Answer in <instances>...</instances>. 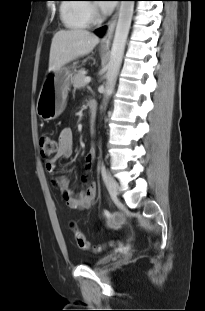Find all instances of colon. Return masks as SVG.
Wrapping results in <instances>:
<instances>
[{
  "label": "colon",
  "instance_id": "colon-1",
  "mask_svg": "<svg viewBox=\"0 0 205 311\" xmlns=\"http://www.w3.org/2000/svg\"><path fill=\"white\" fill-rule=\"evenodd\" d=\"M41 156L44 160H49L59 149V142L51 134H43L40 138ZM74 239L77 247L81 250H94L95 252L103 251L107 246H113V242L108 245H99L91 247L85 235L76 227L72 226Z\"/></svg>",
  "mask_w": 205,
  "mask_h": 311
}]
</instances>
